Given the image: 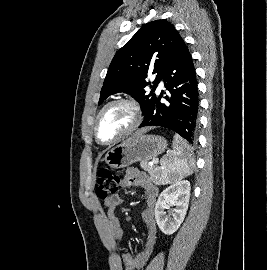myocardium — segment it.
Segmentation results:
<instances>
[{
	"label": "myocardium",
	"mask_w": 267,
	"mask_h": 270,
	"mask_svg": "<svg viewBox=\"0 0 267 270\" xmlns=\"http://www.w3.org/2000/svg\"><path fill=\"white\" fill-rule=\"evenodd\" d=\"M118 104H124L129 106L134 114V121L131 124V126L125 130L123 133H121L119 136H117L116 138L110 140V141H102L99 137L98 134V124H99V120L102 116V114L111 106L114 105H118ZM143 119V114H142V109L140 107V105L138 104L137 101H135L134 99L131 98H118L115 100H112L110 102H108L107 104H105L100 111L98 112L96 119H95V123H94V128H93V133H94V137L96 139V141L101 144V145H112L115 144L117 142H119L120 140H122L123 138H125L126 136L130 135L132 132H134L139 125L141 124Z\"/></svg>",
	"instance_id": "1"
}]
</instances>
